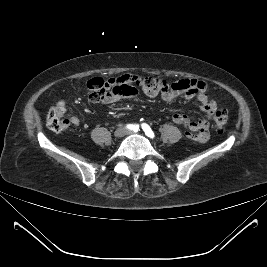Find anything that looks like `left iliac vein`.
<instances>
[{
    "mask_svg": "<svg viewBox=\"0 0 267 267\" xmlns=\"http://www.w3.org/2000/svg\"><path fill=\"white\" fill-rule=\"evenodd\" d=\"M126 134L130 135V134H132V132L131 131H126Z\"/></svg>",
    "mask_w": 267,
    "mask_h": 267,
    "instance_id": "4c4485c4",
    "label": "left iliac vein"
}]
</instances>
